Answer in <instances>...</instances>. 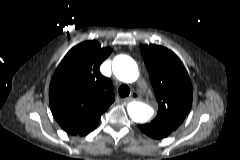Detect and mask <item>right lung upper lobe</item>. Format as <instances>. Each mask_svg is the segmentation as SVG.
<instances>
[{
	"label": "right lung upper lobe",
	"mask_w": 240,
	"mask_h": 160,
	"mask_svg": "<svg viewBox=\"0 0 240 160\" xmlns=\"http://www.w3.org/2000/svg\"><path fill=\"white\" fill-rule=\"evenodd\" d=\"M110 53L109 47L86 41L73 47L56 68L49 86L50 109L68 134L95 128L114 102L112 82L99 71Z\"/></svg>",
	"instance_id": "cb5924a9"
}]
</instances>
